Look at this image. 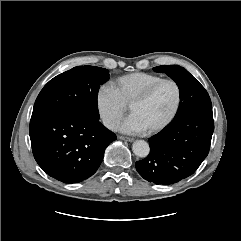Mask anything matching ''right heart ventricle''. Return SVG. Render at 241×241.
<instances>
[{
  "instance_id": "obj_1",
  "label": "right heart ventricle",
  "mask_w": 241,
  "mask_h": 241,
  "mask_svg": "<svg viewBox=\"0 0 241 241\" xmlns=\"http://www.w3.org/2000/svg\"><path fill=\"white\" fill-rule=\"evenodd\" d=\"M162 77L152 73L134 72L117 78L112 87L121 101L129 106L131 102L149 86L161 80Z\"/></svg>"
}]
</instances>
